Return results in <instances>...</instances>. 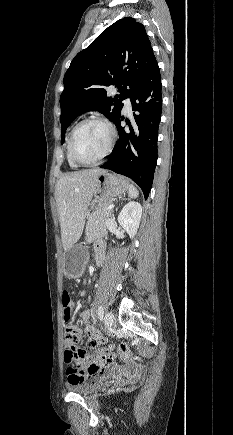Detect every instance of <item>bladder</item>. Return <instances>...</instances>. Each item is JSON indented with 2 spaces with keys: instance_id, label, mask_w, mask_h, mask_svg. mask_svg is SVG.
I'll return each instance as SVG.
<instances>
[{
  "instance_id": "obj_1",
  "label": "bladder",
  "mask_w": 233,
  "mask_h": 435,
  "mask_svg": "<svg viewBox=\"0 0 233 435\" xmlns=\"http://www.w3.org/2000/svg\"><path fill=\"white\" fill-rule=\"evenodd\" d=\"M106 380L107 377L105 376L102 378H97L93 382L87 384H81L79 382H69L67 384V389L78 394L87 395L92 393L94 390L100 388Z\"/></svg>"
}]
</instances>
